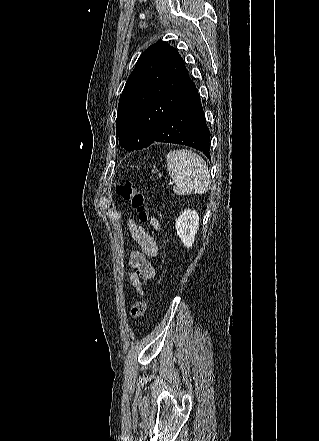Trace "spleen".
<instances>
[{
    "instance_id": "1",
    "label": "spleen",
    "mask_w": 319,
    "mask_h": 441,
    "mask_svg": "<svg viewBox=\"0 0 319 441\" xmlns=\"http://www.w3.org/2000/svg\"><path fill=\"white\" fill-rule=\"evenodd\" d=\"M167 171L174 180L177 195L203 194L210 187V174L204 159L187 149L170 151L166 156Z\"/></svg>"
}]
</instances>
